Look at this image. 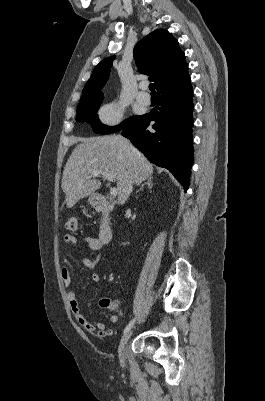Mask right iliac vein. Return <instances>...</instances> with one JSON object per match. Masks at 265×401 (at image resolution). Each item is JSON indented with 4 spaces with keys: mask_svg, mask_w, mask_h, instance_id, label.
<instances>
[{
    "mask_svg": "<svg viewBox=\"0 0 265 401\" xmlns=\"http://www.w3.org/2000/svg\"><path fill=\"white\" fill-rule=\"evenodd\" d=\"M131 335H132V331H131V330L127 331V332L123 335V337H122V339H121V341H120V343H119V346H118V353H119V358H120V364H121L122 367L125 366V364H124V359H123V356H122V352H123V350H124V348H125V346H126L128 340L130 339Z\"/></svg>",
    "mask_w": 265,
    "mask_h": 401,
    "instance_id": "63e3f726",
    "label": "right iliac vein"
}]
</instances>
